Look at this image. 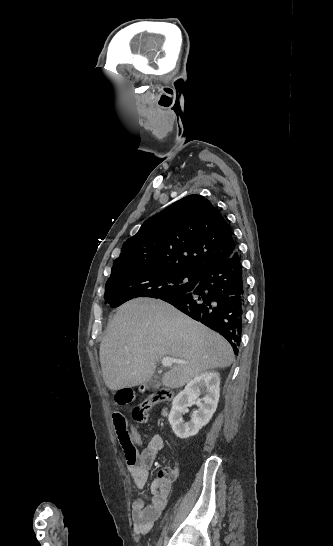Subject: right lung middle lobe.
I'll return each instance as SVG.
<instances>
[{
    "label": "right lung middle lobe",
    "mask_w": 333,
    "mask_h": 546,
    "mask_svg": "<svg viewBox=\"0 0 333 546\" xmlns=\"http://www.w3.org/2000/svg\"><path fill=\"white\" fill-rule=\"evenodd\" d=\"M196 282V275L121 267L112 270L105 285L104 298L111 307H117L137 297L161 298L186 294L194 288Z\"/></svg>",
    "instance_id": "obj_1"
}]
</instances>
